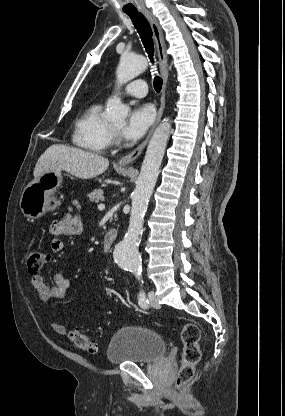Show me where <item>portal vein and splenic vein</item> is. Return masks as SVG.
<instances>
[{
  "mask_svg": "<svg viewBox=\"0 0 285 416\" xmlns=\"http://www.w3.org/2000/svg\"><path fill=\"white\" fill-rule=\"evenodd\" d=\"M98 210H105V206H104V204H99V206H98Z\"/></svg>",
  "mask_w": 285,
  "mask_h": 416,
  "instance_id": "obj_1",
  "label": "portal vein and splenic vein"
}]
</instances>
